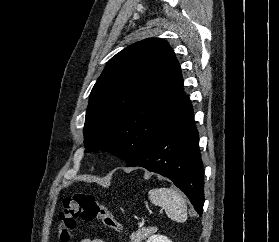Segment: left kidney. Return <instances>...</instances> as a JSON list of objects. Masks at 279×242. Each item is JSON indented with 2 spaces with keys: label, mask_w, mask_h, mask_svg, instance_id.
<instances>
[{
  "label": "left kidney",
  "mask_w": 279,
  "mask_h": 242,
  "mask_svg": "<svg viewBox=\"0 0 279 242\" xmlns=\"http://www.w3.org/2000/svg\"><path fill=\"white\" fill-rule=\"evenodd\" d=\"M146 242H172L166 236L163 235H151Z\"/></svg>",
  "instance_id": "left-kidney-1"
}]
</instances>
